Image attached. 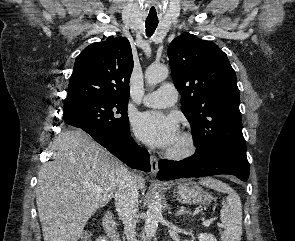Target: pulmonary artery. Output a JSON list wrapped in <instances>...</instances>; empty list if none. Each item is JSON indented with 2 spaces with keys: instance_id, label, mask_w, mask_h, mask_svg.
Returning <instances> with one entry per match:
<instances>
[{
  "instance_id": "1",
  "label": "pulmonary artery",
  "mask_w": 295,
  "mask_h": 241,
  "mask_svg": "<svg viewBox=\"0 0 295 241\" xmlns=\"http://www.w3.org/2000/svg\"><path fill=\"white\" fill-rule=\"evenodd\" d=\"M178 92L171 84H164L156 91L144 96L143 103L148 107L166 108L174 105Z\"/></svg>"
}]
</instances>
